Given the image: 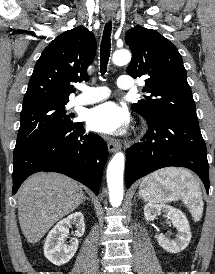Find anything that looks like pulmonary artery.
Instances as JSON below:
<instances>
[{"label": "pulmonary artery", "mask_w": 215, "mask_h": 274, "mask_svg": "<svg viewBox=\"0 0 215 274\" xmlns=\"http://www.w3.org/2000/svg\"><path fill=\"white\" fill-rule=\"evenodd\" d=\"M117 85L120 89L128 90L133 87L132 79L127 75L118 77ZM81 94H79L72 102L73 105H89L105 100L110 95V90L105 86L89 87L82 85L80 87Z\"/></svg>", "instance_id": "pulmonary-artery-1"}]
</instances>
